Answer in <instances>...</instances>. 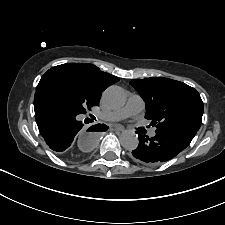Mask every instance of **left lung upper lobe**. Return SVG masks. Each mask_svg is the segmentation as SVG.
Segmentation results:
<instances>
[{"label": "left lung upper lobe", "mask_w": 225, "mask_h": 225, "mask_svg": "<svg viewBox=\"0 0 225 225\" xmlns=\"http://www.w3.org/2000/svg\"><path fill=\"white\" fill-rule=\"evenodd\" d=\"M130 84L146 102L145 118L156 133L193 129L202 123L203 102L189 85L163 77L134 79Z\"/></svg>", "instance_id": "left-lung-upper-lobe-1"}]
</instances>
